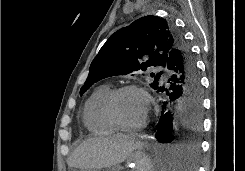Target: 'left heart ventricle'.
<instances>
[{
	"instance_id": "b2bd125f",
	"label": "left heart ventricle",
	"mask_w": 245,
	"mask_h": 171,
	"mask_svg": "<svg viewBox=\"0 0 245 171\" xmlns=\"http://www.w3.org/2000/svg\"><path fill=\"white\" fill-rule=\"evenodd\" d=\"M117 111L124 123L129 125L139 124L147 113L146 99L138 92H126L118 99Z\"/></svg>"
}]
</instances>
